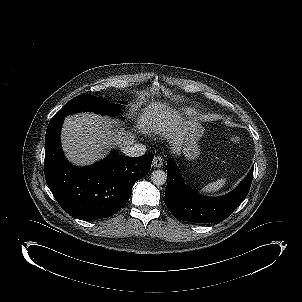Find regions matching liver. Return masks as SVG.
<instances>
[{"mask_svg":"<svg viewBox=\"0 0 302 302\" xmlns=\"http://www.w3.org/2000/svg\"><path fill=\"white\" fill-rule=\"evenodd\" d=\"M137 118L141 133L155 132L167 140L173 153L180 152L186 123L177 111L155 103L144 108ZM113 128L109 118L93 113L66 117L61 134L66 157L76 165H88L102 159L114 145L123 149L134 144L135 136L131 132Z\"/></svg>","mask_w":302,"mask_h":302,"instance_id":"6515ba94","label":"liver"}]
</instances>
